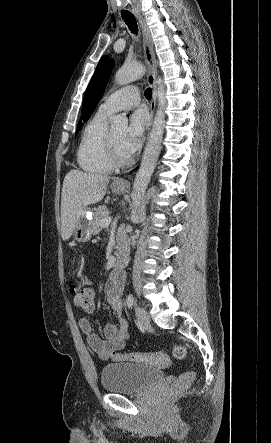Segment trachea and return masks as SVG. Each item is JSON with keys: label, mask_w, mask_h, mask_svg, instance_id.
Instances as JSON below:
<instances>
[{"label": "trachea", "mask_w": 271, "mask_h": 443, "mask_svg": "<svg viewBox=\"0 0 271 443\" xmlns=\"http://www.w3.org/2000/svg\"><path fill=\"white\" fill-rule=\"evenodd\" d=\"M131 10L128 9V7H123L122 10H120L119 15L120 17L123 18L124 22L126 23V25L129 27V29L131 30V32L133 34H136L138 31V27H137V23H136V19L134 17V15H131ZM145 97L150 100L152 97V90L151 88H147L145 90Z\"/></svg>", "instance_id": "1"}]
</instances>
